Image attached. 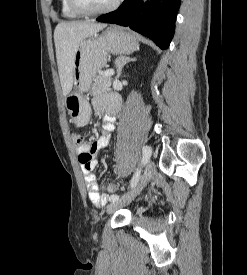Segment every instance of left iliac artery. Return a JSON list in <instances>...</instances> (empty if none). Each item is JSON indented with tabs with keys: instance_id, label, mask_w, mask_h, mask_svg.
I'll return each mask as SVG.
<instances>
[{
	"instance_id": "44dca946",
	"label": "left iliac artery",
	"mask_w": 247,
	"mask_h": 275,
	"mask_svg": "<svg viewBox=\"0 0 247 275\" xmlns=\"http://www.w3.org/2000/svg\"><path fill=\"white\" fill-rule=\"evenodd\" d=\"M142 153H143L142 162L145 164V163L148 162V160L151 157V153H152L151 148L149 146H144L143 149H142ZM140 172H141V169H137L135 174L133 175L131 181H130V186H131L132 189L134 187H136V185L139 181ZM118 199H119V195H116V194H113L109 197V201H111V202H114Z\"/></svg>"
}]
</instances>
